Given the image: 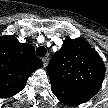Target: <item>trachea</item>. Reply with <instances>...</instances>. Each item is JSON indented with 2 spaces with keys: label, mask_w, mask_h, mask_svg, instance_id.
<instances>
[{
  "label": "trachea",
  "mask_w": 108,
  "mask_h": 108,
  "mask_svg": "<svg viewBox=\"0 0 108 108\" xmlns=\"http://www.w3.org/2000/svg\"><path fill=\"white\" fill-rule=\"evenodd\" d=\"M36 54L38 56H45L46 55V49L44 47H39L37 50H36Z\"/></svg>",
  "instance_id": "obj_1"
}]
</instances>
